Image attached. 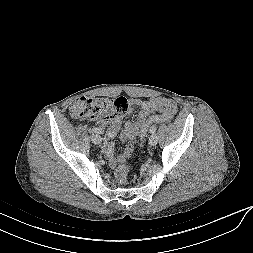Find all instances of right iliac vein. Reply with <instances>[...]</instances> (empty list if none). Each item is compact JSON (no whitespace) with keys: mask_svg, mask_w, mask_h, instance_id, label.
I'll return each instance as SVG.
<instances>
[{"mask_svg":"<svg viewBox=\"0 0 253 253\" xmlns=\"http://www.w3.org/2000/svg\"><path fill=\"white\" fill-rule=\"evenodd\" d=\"M91 141L94 143V144H100L102 139L101 137L98 135V134H92L91 135Z\"/></svg>","mask_w":253,"mask_h":253,"instance_id":"obj_1","label":"right iliac vein"}]
</instances>
